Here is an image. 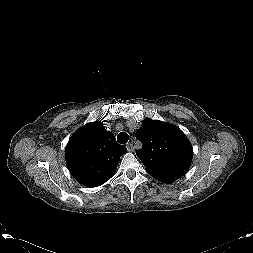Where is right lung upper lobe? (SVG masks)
I'll return each mask as SVG.
<instances>
[{
    "mask_svg": "<svg viewBox=\"0 0 253 253\" xmlns=\"http://www.w3.org/2000/svg\"><path fill=\"white\" fill-rule=\"evenodd\" d=\"M127 152L116 142L102 122L88 123L77 130L66 146V164L71 175L88 187H98L116 171L120 157Z\"/></svg>",
    "mask_w": 253,
    "mask_h": 253,
    "instance_id": "1",
    "label": "right lung upper lobe"
}]
</instances>
